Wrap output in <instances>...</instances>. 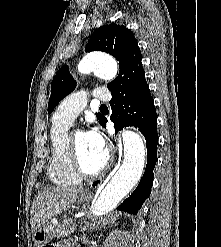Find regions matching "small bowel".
<instances>
[{"mask_svg": "<svg viewBox=\"0 0 221 247\" xmlns=\"http://www.w3.org/2000/svg\"><path fill=\"white\" fill-rule=\"evenodd\" d=\"M56 247H69V246L66 244H60V245H57Z\"/></svg>", "mask_w": 221, "mask_h": 247, "instance_id": "obj_1", "label": "small bowel"}]
</instances>
